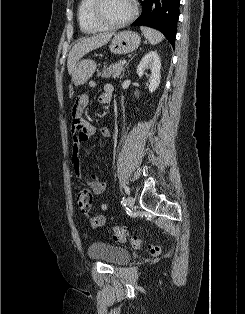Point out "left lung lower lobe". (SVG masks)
<instances>
[{"mask_svg":"<svg viewBox=\"0 0 245 314\" xmlns=\"http://www.w3.org/2000/svg\"><path fill=\"white\" fill-rule=\"evenodd\" d=\"M142 14L133 25L160 30L174 47L180 0H140Z\"/></svg>","mask_w":245,"mask_h":314,"instance_id":"obj_1","label":"left lung lower lobe"}]
</instances>
